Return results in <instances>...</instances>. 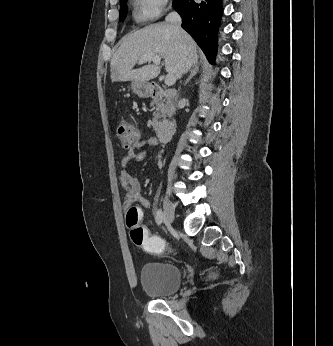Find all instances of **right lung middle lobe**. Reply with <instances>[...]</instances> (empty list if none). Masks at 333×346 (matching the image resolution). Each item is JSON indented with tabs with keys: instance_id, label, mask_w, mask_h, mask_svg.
<instances>
[{
	"instance_id": "dd1d6c3e",
	"label": "right lung middle lobe",
	"mask_w": 333,
	"mask_h": 346,
	"mask_svg": "<svg viewBox=\"0 0 333 346\" xmlns=\"http://www.w3.org/2000/svg\"><path fill=\"white\" fill-rule=\"evenodd\" d=\"M126 1L127 0H120V20H123L126 17Z\"/></svg>"
}]
</instances>
